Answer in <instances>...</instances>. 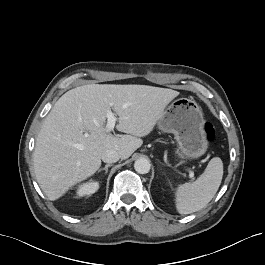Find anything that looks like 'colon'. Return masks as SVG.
Instances as JSON below:
<instances>
[{
    "label": "colon",
    "instance_id": "5ec220e1",
    "mask_svg": "<svg viewBox=\"0 0 265 265\" xmlns=\"http://www.w3.org/2000/svg\"><path fill=\"white\" fill-rule=\"evenodd\" d=\"M205 137L208 141H213L215 138V129L212 124L206 123L204 125Z\"/></svg>",
    "mask_w": 265,
    "mask_h": 265
}]
</instances>
